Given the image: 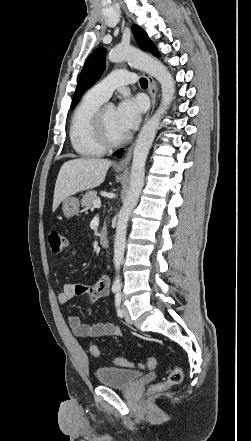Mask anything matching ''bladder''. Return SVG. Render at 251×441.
<instances>
[{"label": "bladder", "mask_w": 251, "mask_h": 441, "mask_svg": "<svg viewBox=\"0 0 251 441\" xmlns=\"http://www.w3.org/2000/svg\"><path fill=\"white\" fill-rule=\"evenodd\" d=\"M142 372L118 367H101L96 370L98 382L106 387L129 388L140 377Z\"/></svg>", "instance_id": "31cf9c89"}]
</instances>
